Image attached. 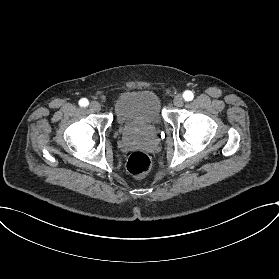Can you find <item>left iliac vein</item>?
Instances as JSON below:
<instances>
[{
  "mask_svg": "<svg viewBox=\"0 0 279 279\" xmlns=\"http://www.w3.org/2000/svg\"><path fill=\"white\" fill-rule=\"evenodd\" d=\"M173 104L176 107H182L184 104V99L181 95H176L173 99Z\"/></svg>",
  "mask_w": 279,
  "mask_h": 279,
  "instance_id": "1",
  "label": "left iliac vein"
}]
</instances>
